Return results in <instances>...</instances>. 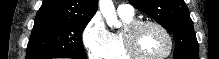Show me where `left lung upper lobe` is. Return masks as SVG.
Returning <instances> with one entry per match:
<instances>
[{"label": "left lung upper lobe", "instance_id": "1", "mask_svg": "<svg viewBox=\"0 0 219 59\" xmlns=\"http://www.w3.org/2000/svg\"><path fill=\"white\" fill-rule=\"evenodd\" d=\"M129 2L174 34L175 59H199L193 22L184 0H129Z\"/></svg>", "mask_w": 219, "mask_h": 59}]
</instances>
